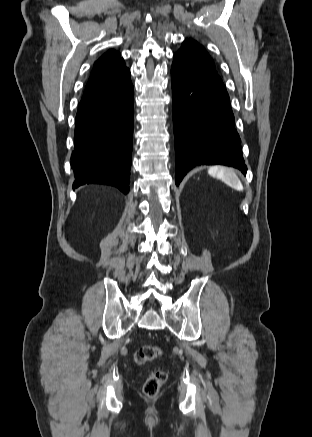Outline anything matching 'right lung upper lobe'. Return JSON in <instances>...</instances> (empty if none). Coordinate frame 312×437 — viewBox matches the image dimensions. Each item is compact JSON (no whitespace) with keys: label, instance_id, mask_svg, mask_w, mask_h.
<instances>
[{"label":"right lung upper lobe","instance_id":"right-lung-upper-lobe-1","mask_svg":"<svg viewBox=\"0 0 312 437\" xmlns=\"http://www.w3.org/2000/svg\"><path fill=\"white\" fill-rule=\"evenodd\" d=\"M127 73H129V69L126 68L120 53L109 50L95 62L82 100L100 94L116 85Z\"/></svg>","mask_w":312,"mask_h":437}]
</instances>
